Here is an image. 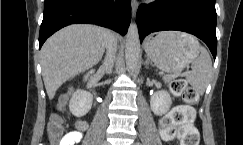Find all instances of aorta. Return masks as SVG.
Instances as JSON below:
<instances>
[{
    "instance_id": "obj_1",
    "label": "aorta",
    "mask_w": 243,
    "mask_h": 145,
    "mask_svg": "<svg viewBox=\"0 0 243 145\" xmlns=\"http://www.w3.org/2000/svg\"><path fill=\"white\" fill-rule=\"evenodd\" d=\"M140 55V40H139V33L136 24H130L128 32H127V39H126V46H125V60L126 65L130 70H133L139 60Z\"/></svg>"
}]
</instances>
